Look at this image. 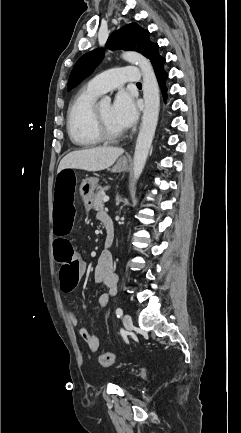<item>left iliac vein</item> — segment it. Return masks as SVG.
I'll return each instance as SVG.
<instances>
[{
	"label": "left iliac vein",
	"mask_w": 241,
	"mask_h": 433,
	"mask_svg": "<svg viewBox=\"0 0 241 433\" xmlns=\"http://www.w3.org/2000/svg\"><path fill=\"white\" fill-rule=\"evenodd\" d=\"M123 324L127 331L132 329L133 323H132V318L129 314H125L123 316Z\"/></svg>",
	"instance_id": "1"
}]
</instances>
